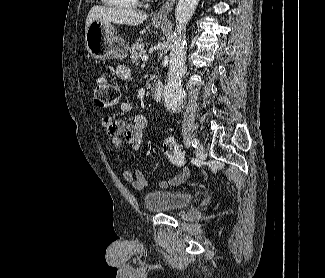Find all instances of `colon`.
<instances>
[{
    "label": "colon",
    "mask_w": 325,
    "mask_h": 278,
    "mask_svg": "<svg viewBox=\"0 0 325 278\" xmlns=\"http://www.w3.org/2000/svg\"><path fill=\"white\" fill-rule=\"evenodd\" d=\"M93 97L100 108L108 109L119 103L121 95L118 87L108 78L98 77L95 81ZM163 151L170 163L177 167L185 166L183 153L174 138L164 139Z\"/></svg>",
    "instance_id": "5ec220e1"
}]
</instances>
